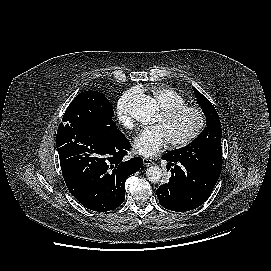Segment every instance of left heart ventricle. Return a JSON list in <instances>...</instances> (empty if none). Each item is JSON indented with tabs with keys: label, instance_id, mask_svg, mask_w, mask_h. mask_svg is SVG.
Here are the masks:
<instances>
[{
	"label": "left heart ventricle",
	"instance_id": "1",
	"mask_svg": "<svg viewBox=\"0 0 271 271\" xmlns=\"http://www.w3.org/2000/svg\"><path fill=\"white\" fill-rule=\"evenodd\" d=\"M156 124L165 129L169 140H178L188 135L196 126L197 119L193 113H184L170 120H165L159 114Z\"/></svg>",
	"mask_w": 271,
	"mask_h": 271
}]
</instances>
